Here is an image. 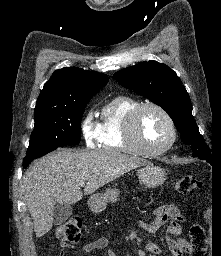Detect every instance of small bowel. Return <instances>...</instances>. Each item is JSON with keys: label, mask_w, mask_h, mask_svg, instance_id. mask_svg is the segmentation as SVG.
I'll list each match as a JSON object with an SVG mask.
<instances>
[{"label": "small bowel", "mask_w": 221, "mask_h": 256, "mask_svg": "<svg viewBox=\"0 0 221 256\" xmlns=\"http://www.w3.org/2000/svg\"><path fill=\"white\" fill-rule=\"evenodd\" d=\"M181 220L182 216L177 207L173 205H163L153 211V219L150 222H140L139 226L144 231L153 233L170 221L166 239L168 248L173 256H184V254L190 250V245L185 239L179 237L182 232L180 225ZM108 246L109 240L105 237H99L83 245L82 251L84 253H91L106 249ZM145 249L151 256H158L161 253L160 247L152 241L146 243ZM108 256L117 255L113 249H110Z\"/></svg>", "instance_id": "obj_1"}]
</instances>
